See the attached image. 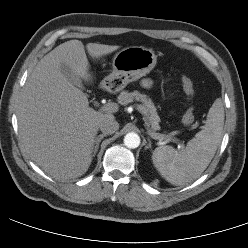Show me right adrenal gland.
Segmentation results:
<instances>
[{
	"label": "right adrenal gland",
	"instance_id": "1",
	"mask_svg": "<svg viewBox=\"0 0 248 248\" xmlns=\"http://www.w3.org/2000/svg\"><path fill=\"white\" fill-rule=\"evenodd\" d=\"M106 137V134H100L98 135L95 140H94V146H93V154L92 156L95 157L97 151H98V148H99V144L100 142L102 141V139Z\"/></svg>",
	"mask_w": 248,
	"mask_h": 248
}]
</instances>
